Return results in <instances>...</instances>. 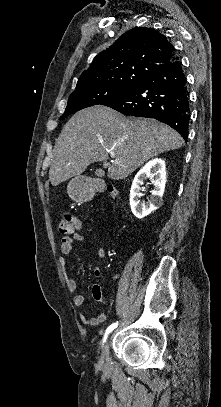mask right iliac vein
Returning a JSON list of instances; mask_svg holds the SVG:
<instances>
[{"label": "right iliac vein", "instance_id": "1", "mask_svg": "<svg viewBox=\"0 0 221 407\" xmlns=\"http://www.w3.org/2000/svg\"><path fill=\"white\" fill-rule=\"evenodd\" d=\"M109 361V339L107 340L101 356V364H106Z\"/></svg>", "mask_w": 221, "mask_h": 407}]
</instances>
